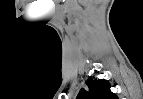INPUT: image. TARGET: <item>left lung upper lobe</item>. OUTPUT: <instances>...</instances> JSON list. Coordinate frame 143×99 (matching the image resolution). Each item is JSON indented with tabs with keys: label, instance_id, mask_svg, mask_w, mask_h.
<instances>
[{
	"label": "left lung upper lobe",
	"instance_id": "5c2ea615",
	"mask_svg": "<svg viewBox=\"0 0 143 99\" xmlns=\"http://www.w3.org/2000/svg\"><path fill=\"white\" fill-rule=\"evenodd\" d=\"M86 84L88 91L81 89L76 99H118V96L111 92L110 83L104 79L88 78Z\"/></svg>",
	"mask_w": 143,
	"mask_h": 99
}]
</instances>
